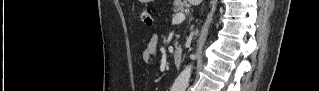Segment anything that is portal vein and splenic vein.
Returning <instances> with one entry per match:
<instances>
[{
    "mask_svg": "<svg viewBox=\"0 0 319 91\" xmlns=\"http://www.w3.org/2000/svg\"><path fill=\"white\" fill-rule=\"evenodd\" d=\"M185 20V15L184 13L180 12V13H176L175 16L172 19V23L173 24H179L181 22H183Z\"/></svg>",
    "mask_w": 319,
    "mask_h": 91,
    "instance_id": "1",
    "label": "portal vein and splenic vein"
}]
</instances>
